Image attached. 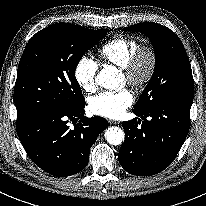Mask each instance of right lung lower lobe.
<instances>
[{"mask_svg":"<svg viewBox=\"0 0 206 206\" xmlns=\"http://www.w3.org/2000/svg\"><path fill=\"white\" fill-rule=\"evenodd\" d=\"M85 102L76 107L40 111L17 119L16 129L30 159L42 170L58 177L82 171L89 161L90 148L108 127L105 118H88ZM74 128H69L68 121Z\"/></svg>","mask_w":206,"mask_h":206,"instance_id":"1","label":"right lung lower lobe"}]
</instances>
